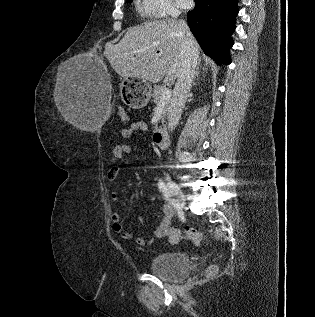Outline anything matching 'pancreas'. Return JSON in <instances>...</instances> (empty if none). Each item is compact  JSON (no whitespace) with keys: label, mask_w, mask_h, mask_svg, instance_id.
Masks as SVG:
<instances>
[{"label":"pancreas","mask_w":315,"mask_h":317,"mask_svg":"<svg viewBox=\"0 0 315 317\" xmlns=\"http://www.w3.org/2000/svg\"><path fill=\"white\" fill-rule=\"evenodd\" d=\"M168 90L166 86H156L154 88L152 98L153 102L158 104L162 101V92ZM169 105H170V99L164 101V110H163V117L166 116L168 110H169Z\"/></svg>","instance_id":"cf45deb5"}]
</instances>
